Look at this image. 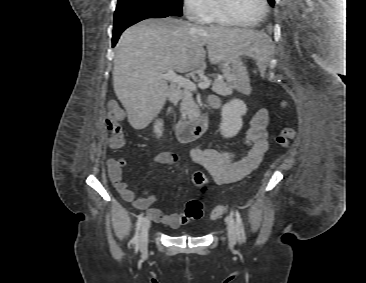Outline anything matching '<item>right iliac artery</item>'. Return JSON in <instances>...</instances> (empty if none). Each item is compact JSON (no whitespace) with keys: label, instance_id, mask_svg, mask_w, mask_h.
<instances>
[{"label":"right iliac artery","instance_id":"1","mask_svg":"<svg viewBox=\"0 0 366 283\" xmlns=\"http://www.w3.org/2000/svg\"><path fill=\"white\" fill-rule=\"evenodd\" d=\"M144 220V217H143V213H141L139 216H138V220H137V224H136V232H135V236L133 237L132 239V243L133 245L138 248V241H139V231H140V227H141V224Z\"/></svg>","mask_w":366,"mask_h":283}]
</instances>
